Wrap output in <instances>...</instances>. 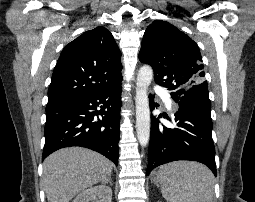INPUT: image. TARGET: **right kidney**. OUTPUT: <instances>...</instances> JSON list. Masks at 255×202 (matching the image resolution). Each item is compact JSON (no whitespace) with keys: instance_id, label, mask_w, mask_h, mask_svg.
I'll use <instances>...</instances> for the list:
<instances>
[{"instance_id":"1","label":"right kidney","mask_w":255,"mask_h":202,"mask_svg":"<svg viewBox=\"0 0 255 202\" xmlns=\"http://www.w3.org/2000/svg\"><path fill=\"white\" fill-rule=\"evenodd\" d=\"M112 190L105 185H98L86 189L77 195L72 202H111Z\"/></svg>"}]
</instances>
